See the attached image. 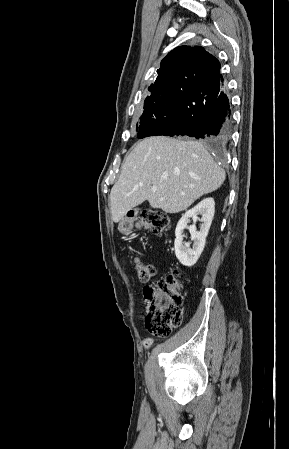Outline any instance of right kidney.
<instances>
[{
    "mask_svg": "<svg viewBox=\"0 0 289 449\" xmlns=\"http://www.w3.org/2000/svg\"><path fill=\"white\" fill-rule=\"evenodd\" d=\"M215 212V202L213 198H205L194 208L188 210L178 221L175 230V255L179 262L187 267L193 266L200 257L206 242V237L210 229ZM201 215V219L198 218ZM192 219L194 222L201 221L200 230H196L195 224L187 226ZM189 229L193 246L190 248L188 243H183V230Z\"/></svg>",
    "mask_w": 289,
    "mask_h": 449,
    "instance_id": "obj_1",
    "label": "right kidney"
}]
</instances>
